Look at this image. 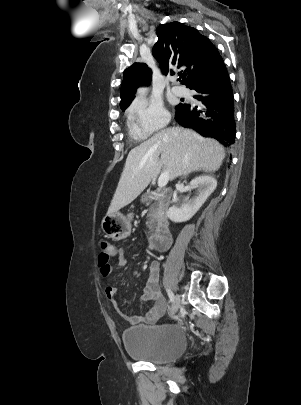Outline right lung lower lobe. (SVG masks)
<instances>
[{"instance_id": "right-lung-lower-lobe-1", "label": "right lung lower lobe", "mask_w": 301, "mask_h": 405, "mask_svg": "<svg viewBox=\"0 0 301 405\" xmlns=\"http://www.w3.org/2000/svg\"><path fill=\"white\" fill-rule=\"evenodd\" d=\"M189 88L198 92L194 97L203 106L181 104L175 112L176 121L205 137L215 138L225 147L231 146L235 142L236 123L233 91L224 63L213 76Z\"/></svg>"}]
</instances>
